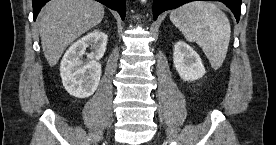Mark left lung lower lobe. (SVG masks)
I'll use <instances>...</instances> for the list:
<instances>
[{"label":"left lung lower lobe","instance_id":"1","mask_svg":"<svg viewBox=\"0 0 276 145\" xmlns=\"http://www.w3.org/2000/svg\"><path fill=\"white\" fill-rule=\"evenodd\" d=\"M191 1H194V0H153L154 20H156V18L160 13L166 10L174 9L176 7H179ZM212 1H220L224 3L233 12L237 22H239L241 0H212Z\"/></svg>","mask_w":276,"mask_h":145}]
</instances>
